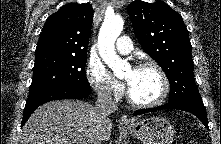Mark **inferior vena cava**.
<instances>
[{
    "label": "inferior vena cava",
    "instance_id": "602c4592",
    "mask_svg": "<svg viewBox=\"0 0 221 144\" xmlns=\"http://www.w3.org/2000/svg\"><path fill=\"white\" fill-rule=\"evenodd\" d=\"M95 108L98 119L100 121H106L111 113L117 111L118 105L109 91L101 90L98 93Z\"/></svg>",
    "mask_w": 221,
    "mask_h": 144
}]
</instances>
